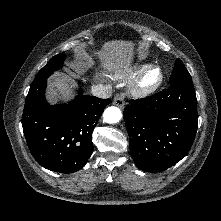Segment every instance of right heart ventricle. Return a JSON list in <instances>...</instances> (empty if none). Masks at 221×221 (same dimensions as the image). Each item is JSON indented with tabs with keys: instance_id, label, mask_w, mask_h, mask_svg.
Here are the masks:
<instances>
[{
	"instance_id": "1",
	"label": "right heart ventricle",
	"mask_w": 221,
	"mask_h": 221,
	"mask_svg": "<svg viewBox=\"0 0 221 221\" xmlns=\"http://www.w3.org/2000/svg\"><path fill=\"white\" fill-rule=\"evenodd\" d=\"M145 65H141L140 67H138L137 70H143L144 68H146L147 66ZM136 71H131L129 73H123V74H118V75H115L113 78L115 80H118V81H124V80H128L130 78L133 77V75L135 74Z\"/></svg>"
}]
</instances>
